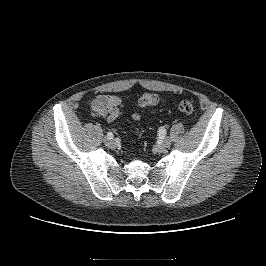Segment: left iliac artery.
I'll return each instance as SVG.
<instances>
[{"mask_svg": "<svg viewBox=\"0 0 266 266\" xmlns=\"http://www.w3.org/2000/svg\"><path fill=\"white\" fill-rule=\"evenodd\" d=\"M165 136H166V130L164 129V127H161V128L159 129L158 139H159V140H162L163 137H165Z\"/></svg>", "mask_w": 266, "mask_h": 266, "instance_id": "1", "label": "left iliac artery"}]
</instances>
